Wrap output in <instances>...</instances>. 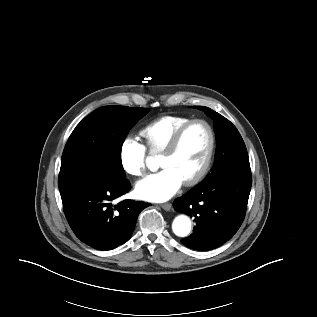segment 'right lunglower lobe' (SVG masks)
<instances>
[{"mask_svg":"<svg viewBox=\"0 0 317 317\" xmlns=\"http://www.w3.org/2000/svg\"><path fill=\"white\" fill-rule=\"evenodd\" d=\"M130 190L125 175L109 168L77 178L61 191L64 213L75 235L97 250H111L131 237L139 213L149 203L113 200Z\"/></svg>","mask_w":317,"mask_h":317,"instance_id":"obj_1","label":"right lung lower lobe"}]
</instances>
